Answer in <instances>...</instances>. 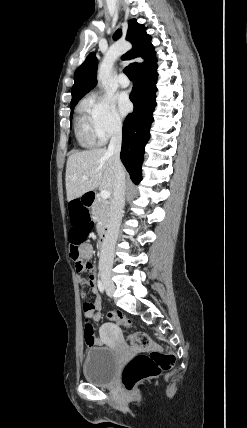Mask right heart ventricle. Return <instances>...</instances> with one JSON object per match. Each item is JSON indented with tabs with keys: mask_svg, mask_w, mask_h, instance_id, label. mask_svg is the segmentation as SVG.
<instances>
[{
	"mask_svg": "<svg viewBox=\"0 0 247 428\" xmlns=\"http://www.w3.org/2000/svg\"><path fill=\"white\" fill-rule=\"evenodd\" d=\"M75 133L81 146L93 147L96 145L97 137L93 127L89 103H83L79 108L75 120Z\"/></svg>",
	"mask_w": 247,
	"mask_h": 428,
	"instance_id": "right-heart-ventricle-1",
	"label": "right heart ventricle"
}]
</instances>
